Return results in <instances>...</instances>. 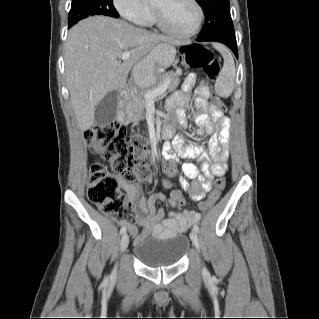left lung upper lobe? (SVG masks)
I'll use <instances>...</instances> for the list:
<instances>
[{
  "label": "left lung upper lobe",
  "mask_w": 319,
  "mask_h": 319,
  "mask_svg": "<svg viewBox=\"0 0 319 319\" xmlns=\"http://www.w3.org/2000/svg\"><path fill=\"white\" fill-rule=\"evenodd\" d=\"M196 1L205 15V23L197 41L236 40L229 0Z\"/></svg>",
  "instance_id": "left-lung-upper-lobe-1"
}]
</instances>
